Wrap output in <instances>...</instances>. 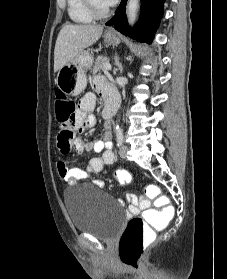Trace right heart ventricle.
Wrapping results in <instances>:
<instances>
[{"label":"right heart ventricle","instance_id":"1","mask_svg":"<svg viewBox=\"0 0 227 279\" xmlns=\"http://www.w3.org/2000/svg\"><path fill=\"white\" fill-rule=\"evenodd\" d=\"M70 19L79 24H88L93 17L87 12L82 0H67Z\"/></svg>","mask_w":227,"mask_h":279}]
</instances>
